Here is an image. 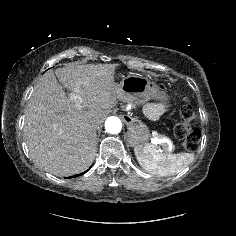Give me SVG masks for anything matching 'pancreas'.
Segmentation results:
<instances>
[{
  "instance_id": "pancreas-1",
  "label": "pancreas",
  "mask_w": 236,
  "mask_h": 236,
  "mask_svg": "<svg viewBox=\"0 0 236 236\" xmlns=\"http://www.w3.org/2000/svg\"><path fill=\"white\" fill-rule=\"evenodd\" d=\"M158 137H160L158 134H157ZM164 146V149L167 150V146L166 145H163Z\"/></svg>"
}]
</instances>
